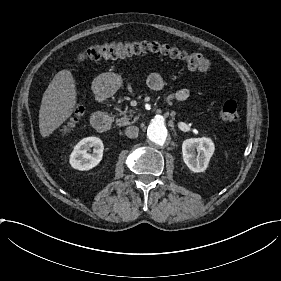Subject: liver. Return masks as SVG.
Returning <instances> with one entry per match:
<instances>
[{
	"mask_svg": "<svg viewBox=\"0 0 281 281\" xmlns=\"http://www.w3.org/2000/svg\"><path fill=\"white\" fill-rule=\"evenodd\" d=\"M75 80L69 70L59 71L45 90L39 110V129L48 137L73 113L76 105Z\"/></svg>",
	"mask_w": 281,
	"mask_h": 281,
	"instance_id": "6515ba94",
	"label": "liver"
}]
</instances>
